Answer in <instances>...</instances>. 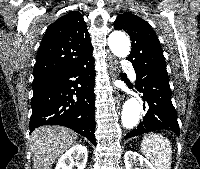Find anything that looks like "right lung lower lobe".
<instances>
[{
    "instance_id": "98d812e1",
    "label": "right lung lower lobe",
    "mask_w": 200,
    "mask_h": 169,
    "mask_svg": "<svg viewBox=\"0 0 200 169\" xmlns=\"http://www.w3.org/2000/svg\"><path fill=\"white\" fill-rule=\"evenodd\" d=\"M94 58L70 70L34 80L30 133L43 125H61L95 144Z\"/></svg>"
}]
</instances>
